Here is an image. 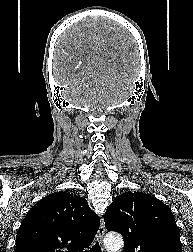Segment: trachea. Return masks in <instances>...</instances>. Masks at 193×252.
Wrapping results in <instances>:
<instances>
[{
    "label": "trachea",
    "instance_id": "3493384b",
    "mask_svg": "<svg viewBox=\"0 0 193 252\" xmlns=\"http://www.w3.org/2000/svg\"><path fill=\"white\" fill-rule=\"evenodd\" d=\"M87 252H101V247L99 246V243L96 242V243L92 246V248H91L89 251H87Z\"/></svg>",
    "mask_w": 193,
    "mask_h": 252
}]
</instances>
